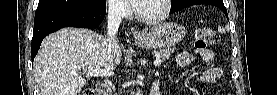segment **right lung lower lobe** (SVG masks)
Returning <instances> with one entry per match:
<instances>
[{"mask_svg":"<svg viewBox=\"0 0 277 95\" xmlns=\"http://www.w3.org/2000/svg\"><path fill=\"white\" fill-rule=\"evenodd\" d=\"M106 14V5L92 7H56L36 10L32 38V62L48 34L63 27L96 28Z\"/></svg>","mask_w":277,"mask_h":95,"instance_id":"1","label":"right lung lower lobe"}]
</instances>
